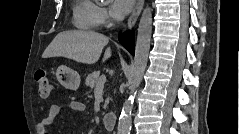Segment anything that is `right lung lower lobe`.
<instances>
[{
  "label": "right lung lower lobe",
  "instance_id": "98d812e1",
  "mask_svg": "<svg viewBox=\"0 0 239 134\" xmlns=\"http://www.w3.org/2000/svg\"><path fill=\"white\" fill-rule=\"evenodd\" d=\"M120 43L132 54L135 52L134 34L127 32L126 34H120L118 37Z\"/></svg>",
  "mask_w": 239,
  "mask_h": 134
}]
</instances>
